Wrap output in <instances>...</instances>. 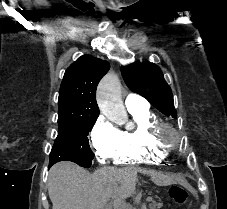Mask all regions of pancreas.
I'll return each mask as SVG.
<instances>
[{
    "instance_id": "pancreas-1",
    "label": "pancreas",
    "mask_w": 227,
    "mask_h": 209,
    "mask_svg": "<svg viewBox=\"0 0 227 209\" xmlns=\"http://www.w3.org/2000/svg\"><path fill=\"white\" fill-rule=\"evenodd\" d=\"M151 209H156V207L155 206H152Z\"/></svg>"
}]
</instances>
